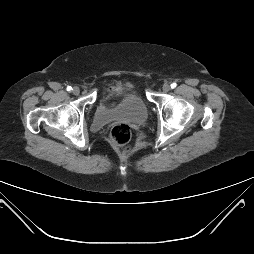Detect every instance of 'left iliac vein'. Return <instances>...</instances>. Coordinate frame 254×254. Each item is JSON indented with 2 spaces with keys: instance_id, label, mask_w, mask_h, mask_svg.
<instances>
[{
  "instance_id": "1",
  "label": "left iliac vein",
  "mask_w": 254,
  "mask_h": 254,
  "mask_svg": "<svg viewBox=\"0 0 254 254\" xmlns=\"http://www.w3.org/2000/svg\"><path fill=\"white\" fill-rule=\"evenodd\" d=\"M162 89L164 92H168L170 90V86L168 84H164Z\"/></svg>"
}]
</instances>
